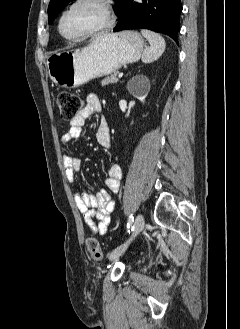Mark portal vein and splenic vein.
Listing matches in <instances>:
<instances>
[{"label": "portal vein and splenic vein", "mask_w": 240, "mask_h": 329, "mask_svg": "<svg viewBox=\"0 0 240 329\" xmlns=\"http://www.w3.org/2000/svg\"><path fill=\"white\" fill-rule=\"evenodd\" d=\"M118 77L119 78H122L123 77V73H119Z\"/></svg>", "instance_id": "18ae733b"}]
</instances>
